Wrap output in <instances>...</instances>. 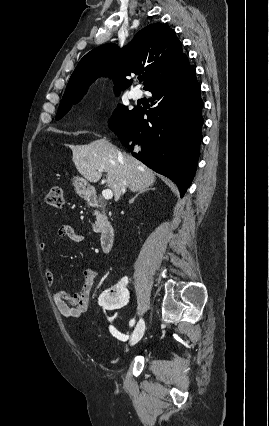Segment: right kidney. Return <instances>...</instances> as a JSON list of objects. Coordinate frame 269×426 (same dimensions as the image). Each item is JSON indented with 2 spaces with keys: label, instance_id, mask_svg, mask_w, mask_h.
<instances>
[{
  "label": "right kidney",
  "instance_id": "ca27d5eb",
  "mask_svg": "<svg viewBox=\"0 0 269 426\" xmlns=\"http://www.w3.org/2000/svg\"><path fill=\"white\" fill-rule=\"evenodd\" d=\"M129 286V283L126 281L120 282L117 285V295L115 296V298L110 296V294H112L114 291L113 288L110 286L107 287L105 290L106 293H103L98 299L100 309L102 311H123L130 300Z\"/></svg>",
  "mask_w": 269,
  "mask_h": 426
}]
</instances>
